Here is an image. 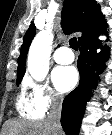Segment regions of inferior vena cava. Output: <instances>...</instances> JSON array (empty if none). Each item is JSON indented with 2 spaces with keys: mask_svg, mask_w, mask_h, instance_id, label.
<instances>
[{
  "mask_svg": "<svg viewBox=\"0 0 112 135\" xmlns=\"http://www.w3.org/2000/svg\"><path fill=\"white\" fill-rule=\"evenodd\" d=\"M61 109H62V102L59 98H53L50 114L48 115L47 121L50 123L53 135H60L61 133Z\"/></svg>",
  "mask_w": 112,
  "mask_h": 135,
  "instance_id": "1",
  "label": "inferior vena cava"
}]
</instances>
